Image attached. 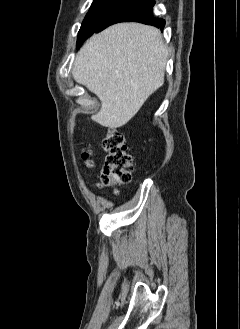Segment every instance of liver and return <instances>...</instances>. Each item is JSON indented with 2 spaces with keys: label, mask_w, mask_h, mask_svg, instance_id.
<instances>
[{
  "label": "liver",
  "mask_w": 240,
  "mask_h": 329,
  "mask_svg": "<svg viewBox=\"0 0 240 329\" xmlns=\"http://www.w3.org/2000/svg\"><path fill=\"white\" fill-rule=\"evenodd\" d=\"M168 49L161 32L119 23L94 34L78 52L72 75L101 101L92 119L108 128L124 126L164 83Z\"/></svg>",
  "instance_id": "6515ba94"
}]
</instances>
